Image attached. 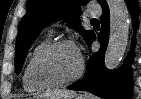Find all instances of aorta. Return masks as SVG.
<instances>
[{"label":"aorta","instance_id":"aorta-1","mask_svg":"<svg viewBox=\"0 0 141 99\" xmlns=\"http://www.w3.org/2000/svg\"><path fill=\"white\" fill-rule=\"evenodd\" d=\"M107 4L110 11V31L104 63L107 69L114 70L121 62L126 50L130 15L125 0H107Z\"/></svg>","mask_w":141,"mask_h":99}]
</instances>
